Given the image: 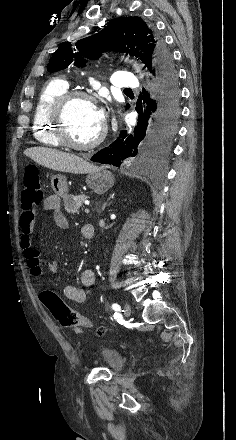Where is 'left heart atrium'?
I'll return each mask as SVG.
<instances>
[{"label": "left heart atrium", "instance_id": "left-heart-atrium-1", "mask_svg": "<svg viewBox=\"0 0 236 440\" xmlns=\"http://www.w3.org/2000/svg\"><path fill=\"white\" fill-rule=\"evenodd\" d=\"M96 117H97L99 124L103 127L105 124V121H106V116H105V112L102 108L96 109Z\"/></svg>", "mask_w": 236, "mask_h": 440}]
</instances>
